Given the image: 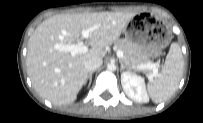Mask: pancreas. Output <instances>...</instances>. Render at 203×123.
<instances>
[{"label":"pancreas","instance_id":"cf45deb5","mask_svg":"<svg viewBox=\"0 0 203 123\" xmlns=\"http://www.w3.org/2000/svg\"><path fill=\"white\" fill-rule=\"evenodd\" d=\"M115 47L124 53L123 61L129 67L150 63L144 52L136 44L127 39L116 41Z\"/></svg>","mask_w":203,"mask_h":123}]
</instances>
